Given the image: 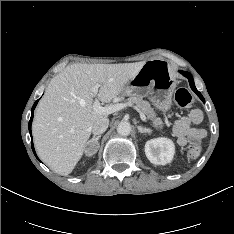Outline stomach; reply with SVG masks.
<instances>
[{
  "mask_svg": "<svg viewBox=\"0 0 234 234\" xmlns=\"http://www.w3.org/2000/svg\"><path fill=\"white\" fill-rule=\"evenodd\" d=\"M176 80L162 61H147L140 71L124 86L121 94L146 97L154 106L166 112L172 105Z\"/></svg>",
  "mask_w": 234,
  "mask_h": 234,
  "instance_id": "1",
  "label": "stomach"
}]
</instances>
